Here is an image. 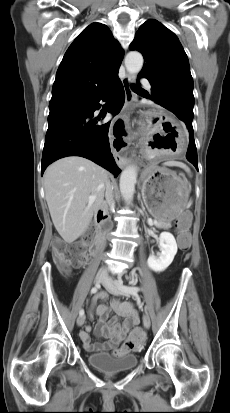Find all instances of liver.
I'll return each instance as SVG.
<instances>
[{
  "label": "liver",
  "mask_w": 230,
  "mask_h": 413,
  "mask_svg": "<svg viewBox=\"0 0 230 413\" xmlns=\"http://www.w3.org/2000/svg\"><path fill=\"white\" fill-rule=\"evenodd\" d=\"M108 172L79 156L52 163L44 174L45 198L53 224L67 243L79 238L88 228L94 213L105 206ZM94 200H89L90 196Z\"/></svg>",
  "instance_id": "6515ba94"
}]
</instances>
